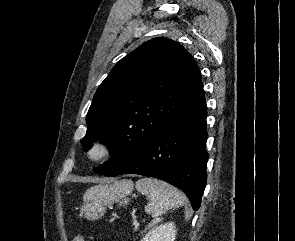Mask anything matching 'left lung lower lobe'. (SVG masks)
I'll use <instances>...</instances> for the list:
<instances>
[{"label":"left lung lower lobe","instance_id":"obj_1","mask_svg":"<svg viewBox=\"0 0 295 241\" xmlns=\"http://www.w3.org/2000/svg\"><path fill=\"white\" fill-rule=\"evenodd\" d=\"M204 100L153 136L108 177L138 174L164 180L181 189L194 210L206 186V117Z\"/></svg>","mask_w":295,"mask_h":241}]
</instances>
